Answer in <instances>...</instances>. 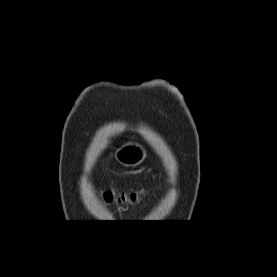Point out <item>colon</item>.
<instances>
[{
	"label": "colon",
	"mask_w": 277,
	"mask_h": 277,
	"mask_svg": "<svg viewBox=\"0 0 277 277\" xmlns=\"http://www.w3.org/2000/svg\"><path fill=\"white\" fill-rule=\"evenodd\" d=\"M105 199L109 203L127 204L129 202L134 201V196L128 195L126 193L113 194L111 192H107L105 194Z\"/></svg>",
	"instance_id": "5ec220e1"
}]
</instances>
